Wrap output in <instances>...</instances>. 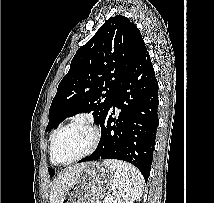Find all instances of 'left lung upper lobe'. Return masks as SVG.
Here are the masks:
<instances>
[{
	"label": "left lung upper lobe",
	"mask_w": 214,
	"mask_h": 203,
	"mask_svg": "<svg viewBox=\"0 0 214 203\" xmlns=\"http://www.w3.org/2000/svg\"><path fill=\"white\" fill-rule=\"evenodd\" d=\"M146 46L139 29L121 15L108 19L74 55L49 109L46 132L67 117L93 111L100 123L121 82ZM54 176L55 171L48 169Z\"/></svg>",
	"instance_id": "5c2ea615"
}]
</instances>
